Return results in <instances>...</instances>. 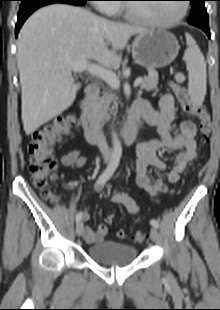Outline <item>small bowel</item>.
Returning <instances> with one entry per match:
<instances>
[{
    "instance_id": "c3829d8e",
    "label": "small bowel",
    "mask_w": 220,
    "mask_h": 310,
    "mask_svg": "<svg viewBox=\"0 0 220 310\" xmlns=\"http://www.w3.org/2000/svg\"><path fill=\"white\" fill-rule=\"evenodd\" d=\"M141 114L144 120L156 126L160 139L150 140L137 147L136 162V183L148 192L151 196H158L161 193H174V186L180 181L182 173L188 164L197 155V144L195 136L197 126L193 121L185 120L180 124V131L177 135L171 134V124L175 118L174 99L171 94H165L159 102V109H154L146 100H138L132 106ZM162 149L179 150L175 158L174 167L168 172V186L161 180L152 182L147 174L149 166H154L160 171H165L166 164L157 156V152ZM87 158L82 156L78 150H73L61 157L64 166L81 167L87 162ZM104 183L98 180L94 184V189L98 192L104 190ZM110 200L123 206L130 214L135 215L139 212V207L135 200L124 192H112ZM82 219L89 218L88 211H81ZM108 232L106 224H99L95 230L84 226L83 234L88 243L96 244L104 241Z\"/></svg>"
}]
</instances>
